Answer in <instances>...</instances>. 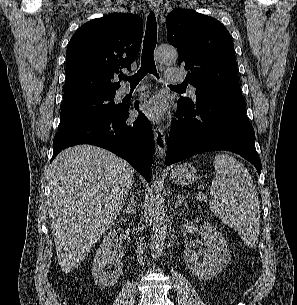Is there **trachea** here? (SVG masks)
<instances>
[{
  "instance_id": "3493384b",
  "label": "trachea",
  "mask_w": 297,
  "mask_h": 305,
  "mask_svg": "<svg viewBox=\"0 0 297 305\" xmlns=\"http://www.w3.org/2000/svg\"><path fill=\"white\" fill-rule=\"evenodd\" d=\"M156 43L157 24L155 15L153 12H151L147 18L140 70L134 76L130 77L122 75L120 76V78L125 81H129L132 86H136L144 78V76L147 75V73H152L153 75L158 77V74L156 73V66L153 55ZM170 87H181V85H171Z\"/></svg>"
}]
</instances>
